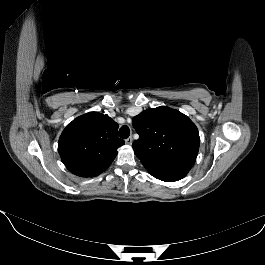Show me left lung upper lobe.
Returning <instances> with one entry per match:
<instances>
[{"label": "left lung upper lobe", "mask_w": 265, "mask_h": 265, "mask_svg": "<svg viewBox=\"0 0 265 265\" xmlns=\"http://www.w3.org/2000/svg\"><path fill=\"white\" fill-rule=\"evenodd\" d=\"M132 123L140 136L132 147L145 168L196 160L199 132L183 113L161 106L143 111Z\"/></svg>", "instance_id": "left-lung-upper-lobe-1"}]
</instances>
